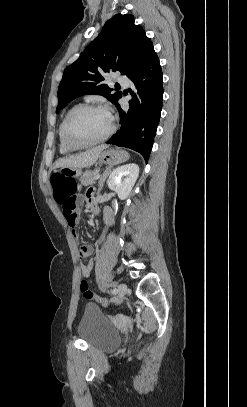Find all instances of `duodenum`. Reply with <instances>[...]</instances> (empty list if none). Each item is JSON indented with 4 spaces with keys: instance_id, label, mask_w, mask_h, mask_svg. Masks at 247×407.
I'll return each instance as SVG.
<instances>
[{
    "instance_id": "duodenum-1",
    "label": "duodenum",
    "mask_w": 247,
    "mask_h": 407,
    "mask_svg": "<svg viewBox=\"0 0 247 407\" xmlns=\"http://www.w3.org/2000/svg\"><path fill=\"white\" fill-rule=\"evenodd\" d=\"M95 208V205H91V209H94Z\"/></svg>"
}]
</instances>
